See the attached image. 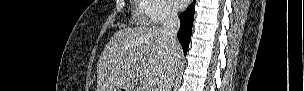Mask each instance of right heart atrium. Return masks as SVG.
<instances>
[{
	"instance_id": "d8ad5b80",
	"label": "right heart atrium",
	"mask_w": 304,
	"mask_h": 91,
	"mask_svg": "<svg viewBox=\"0 0 304 91\" xmlns=\"http://www.w3.org/2000/svg\"><path fill=\"white\" fill-rule=\"evenodd\" d=\"M143 18L151 23H161L176 15L175 9L167 0H142Z\"/></svg>"
}]
</instances>
